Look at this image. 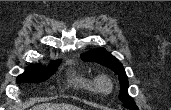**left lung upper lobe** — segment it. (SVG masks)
<instances>
[{"label": "left lung upper lobe", "instance_id": "left-lung-upper-lobe-1", "mask_svg": "<svg viewBox=\"0 0 171 110\" xmlns=\"http://www.w3.org/2000/svg\"><path fill=\"white\" fill-rule=\"evenodd\" d=\"M84 61L98 62L110 69H112L119 77L120 94L119 99L122 101L123 106L130 110H138L134 100L128 95V78L122 64L108 53L104 48L90 50L82 54Z\"/></svg>", "mask_w": 171, "mask_h": 110}]
</instances>
